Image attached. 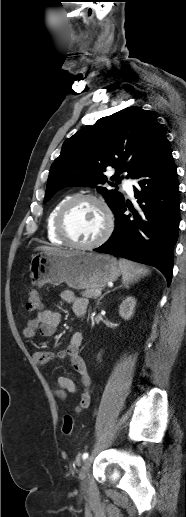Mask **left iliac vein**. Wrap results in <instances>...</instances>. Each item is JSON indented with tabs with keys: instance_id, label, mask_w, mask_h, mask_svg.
I'll list each match as a JSON object with an SVG mask.
<instances>
[{
	"instance_id": "4c4485c4",
	"label": "left iliac vein",
	"mask_w": 186,
	"mask_h": 517,
	"mask_svg": "<svg viewBox=\"0 0 186 517\" xmlns=\"http://www.w3.org/2000/svg\"><path fill=\"white\" fill-rule=\"evenodd\" d=\"M91 463H92V459L91 458H87L82 467H81V470H80V473H79V479L81 481V488L82 489H85L86 487V479H87V474H88V471H89V468L91 466Z\"/></svg>"
}]
</instances>
